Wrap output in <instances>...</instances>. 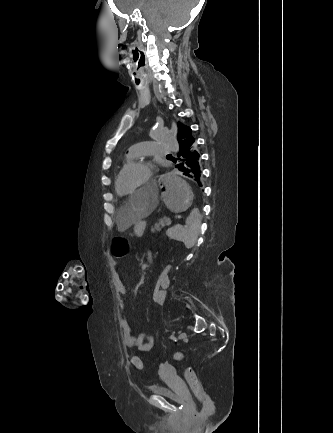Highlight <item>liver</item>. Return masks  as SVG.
I'll return each instance as SVG.
<instances>
[{
  "label": "liver",
  "instance_id": "1",
  "mask_svg": "<svg viewBox=\"0 0 333 433\" xmlns=\"http://www.w3.org/2000/svg\"><path fill=\"white\" fill-rule=\"evenodd\" d=\"M159 188L158 183H143L141 186L143 192H131V200L122 201L116 218L119 232L126 231L156 209V202L151 204V201H158Z\"/></svg>",
  "mask_w": 333,
  "mask_h": 433
}]
</instances>
